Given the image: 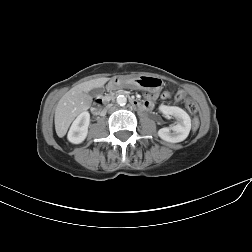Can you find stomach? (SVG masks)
<instances>
[{
  "mask_svg": "<svg viewBox=\"0 0 252 252\" xmlns=\"http://www.w3.org/2000/svg\"><path fill=\"white\" fill-rule=\"evenodd\" d=\"M111 85H132L138 89L146 90L151 93L158 92L162 87V81L152 75H139L135 77H119L115 76L110 81Z\"/></svg>",
  "mask_w": 252,
  "mask_h": 252,
  "instance_id": "obj_1",
  "label": "stomach"
}]
</instances>
